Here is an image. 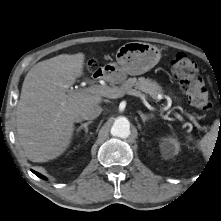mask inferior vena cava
<instances>
[{
    "mask_svg": "<svg viewBox=\"0 0 221 221\" xmlns=\"http://www.w3.org/2000/svg\"><path fill=\"white\" fill-rule=\"evenodd\" d=\"M102 112V108L98 104H89L85 106L77 117L78 121L91 120L97 118Z\"/></svg>",
    "mask_w": 221,
    "mask_h": 221,
    "instance_id": "obj_1",
    "label": "inferior vena cava"
}]
</instances>
